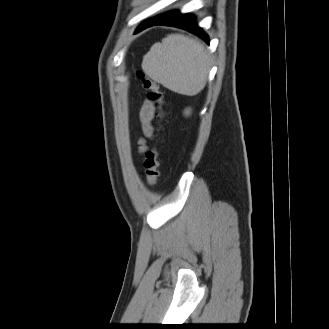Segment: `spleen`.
<instances>
[{"mask_svg":"<svg viewBox=\"0 0 329 329\" xmlns=\"http://www.w3.org/2000/svg\"><path fill=\"white\" fill-rule=\"evenodd\" d=\"M142 69L167 89L192 96L205 87L209 55L199 42L171 34L151 47L143 57Z\"/></svg>","mask_w":329,"mask_h":329,"instance_id":"1","label":"spleen"}]
</instances>
